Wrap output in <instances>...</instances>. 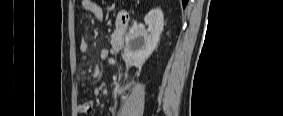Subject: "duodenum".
Here are the masks:
<instances>
[{
    "mask_svg": "<svg viewBox=\"0 0 283 116\" xmlns=\"http://www.w3.org/2000/svg\"><path fill=\"white\" fill-rule=\"evenodd\" d=\"M130 14L127 10L121 9L116 17L115 39L112 48L115 52L121 51L125 46V40L129 27Z\"/></svg>",
    "mask_w": 283,
    "mask_h": 116,
    "instance_id": "410a0bca",
    "label": "duodenum"
}]
</instances>
